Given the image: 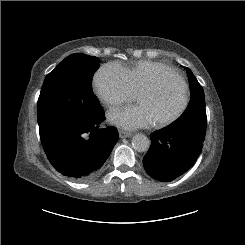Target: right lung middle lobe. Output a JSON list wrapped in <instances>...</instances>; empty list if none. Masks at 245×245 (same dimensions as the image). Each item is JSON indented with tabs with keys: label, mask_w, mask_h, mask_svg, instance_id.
<instances>
[{
	"label": "right lung middle lobe",
	"mask_w": 245,
	"mask_h": 245,
	"mask_svg": "<svg viewBox=\"0 0 245 245\" xmlns=\"http://www.w3.org/2000/svg\"><path fill=\"white\" fill-rule=\"evenodd\" d=\"M98 67V58L75 53L46 76L37 102L40 135L60 125L89 121L102 112L91 91Z\"/></svg>",
	"instance_id": "1"
}]
</instances>
